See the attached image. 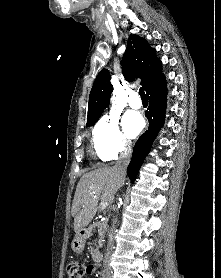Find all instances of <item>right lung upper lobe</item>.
I'll use <instances>...</instances> for the list:
<instances>
[{"label": "right lung upper lobe", "instance_id": "1", "mask_svg": "<svg viewBox=\"0 0 221 278\" xmlns=\"http://www.w3.org/2000/svg\"><path fill=\"white\" fill-rule=\"evenodd\" d=\"M122 73L129 82L141 78V85L146 88L162 73V63L156 56V50L150 47L147 40L130 35L127 49L122 58ZM112 85L107 69L99 72L89 96L87 125L95 124L104 109L108 106Z\"/></svg>", "mask_w": 221, "mask_h": 278}]
</instances>
